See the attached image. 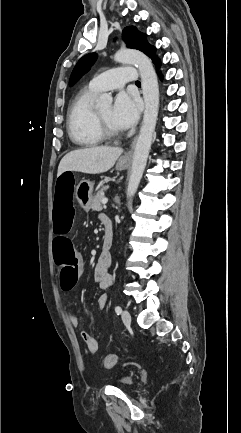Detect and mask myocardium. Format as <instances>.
I'll use <instances>...</instances> for the list:
<instances>
[{
  "instance_id": "f54148a6",
  "label": "myocardium",
  "mask_w": 241,
  "mask_h": 433,
  "mask_svg": "<svg viewBox=\"0 0 241 433\" xmlns=\"http://www.w3.org/2000/svg\"><path fill=\"white\" fill-rule=\"evenodd\" d=\"M95 121H96L97 129L104 139H113L120 135L119 131L111 129L105 123V121L102 119V117L100 116L97 110H95Z\"/></svg>"
}]
</instances>
